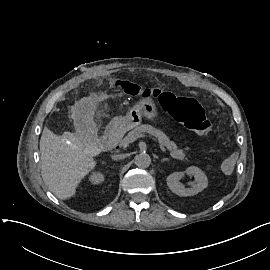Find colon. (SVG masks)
I'll return each instance as SVG.
<instances>
[{
    "label": "colon",
    "mask_w": 270,
    "mask_h": 270,
    "mask_svg": "<svg viewBox=\"0 0 270 270\" xmlns=\"http://www.w3.org/2000/svg\"><path fill=\"white\" fill-rule=\"evenodd\" d=\"M121 86L130 97L142 96L146 100L157 99L164 113L194 132L205 134L213 127L201 105L194 99L183 97L173 91L142 88L134 82H123ZM234 165L235 160L231 156H226L219 164V169L224 175H231Z\"/></svg>",
    "instance_id": "obj_1"
}]
</instances>
